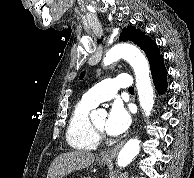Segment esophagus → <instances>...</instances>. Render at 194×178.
<instances>
[{
  "label": "esophagus",
  "instance_id": "esophagus-1",
  "mask_svg": "<svg viewBox=\"0 0 194 178\" xmlns=\"http://www.w3.org/2000/svg\"><path fill=\"white\" fill-rule=\"evenodd\" d=\"M126 139L117 144L116 146L112 147L111 149L106 150L101 154L102 159H112L116 156V154L119 152L121 147L124 145Z\"/></svg>",
  "mask_w": 194,
  "mask_h": 178
}]
</instances>
